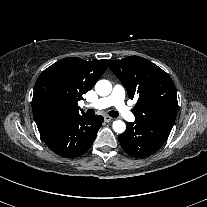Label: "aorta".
Returning <instances> with one entry per match:
<instances>
[{"instance_id":"1","label":"aorta","mask_w":207,"mask_h":207,"mask_svg":"<svg viewBox=\"0 0 207 207\" xmlns=\"http://www.w3.org/2000/svg\"><path fill=\"white\" fill-rule=\"evenodd\" d=\"M95 90L98 95L107 96L112 91V85L108 80H99L95 85ZM112 127L117 133H123L126 129V125L122 120L114 121Z\"/></svg>"}]
</instances>
